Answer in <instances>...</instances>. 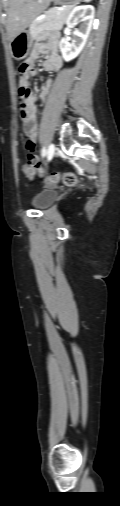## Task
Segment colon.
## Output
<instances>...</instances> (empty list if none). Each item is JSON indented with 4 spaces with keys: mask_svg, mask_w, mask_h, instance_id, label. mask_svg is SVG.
Returning a JSON list of instances; mask_svg holds the SVG:
<instances>
[{
    "mask_svg": "<svg viewBox=\"0 0 120 506\" xmlns=\"http://www.w3.org/2000/svg\"><path fill=\"white\" fill-rule=\"evenodd\" d=\"M27 69V65L22 63L20 65L19 71L24 72ZM19 98H20V110L24 104L25 99L29 95V90L25 87L19 86ZM34 146L33 140L30 138L27 140V147L32 148ZM22 173L27 178H34L36 176L44 177V181L47 185H56L58 183H63L66 186H73L77 184L78 178L76 174L72 172L67 173H59L53 172L49 175H45L42 168L40 167L39 160L36 156L30 155L27 158V163L22 167Z\"/></svg>",
    "mask_w": 120,
    "mask_h": 506,
    "instance_id": "1",
    "label": "colon"
}]
</instances>
